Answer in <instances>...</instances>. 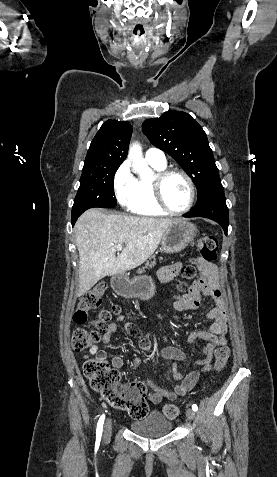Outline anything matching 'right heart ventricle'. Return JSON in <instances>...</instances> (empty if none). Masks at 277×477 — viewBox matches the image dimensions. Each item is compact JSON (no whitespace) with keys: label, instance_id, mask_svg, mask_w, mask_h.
<instances>
[{"label":"right heart ventricle","instance_id":"1","mask_svg":"<svg viewBox=\"0 0 277 477\" xmlns=\"http://www.w3.org/2000/svg\"><path fill=\"white\" fill-rule=\"evenodd\" d=\"M154 172L165 169V166L149 163ZM152 176L139 177L135 180L134 194L127 205L132 213L144 217H160L166 213L157 205L152 188Z\"/></svg>","mask_w":277,"mask_h":477}]
</instances>
